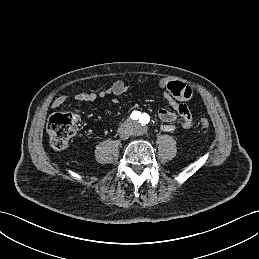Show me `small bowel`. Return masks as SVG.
<instances>
[{
    "label": "small bowel",
    "mask_w": 259,
    "mask_h": 259,
    "mask_svg": "<svg viewBox=\"0 0 259 259\" xmlns=\"http://www.w3.org/2000/svg\"><path fill=\"white\" fill-rule=\"evenodd\" d=\"M145 80L139 79L137 84H143ZM158 86L164 88L167 93L166 99L174 109L171 111L166 108H160L158 110V118L161 121V129L164 132L171 133L175 130V122L178 121L182 128L190 129L194 126V120L188 110L186 102L190 100L192 96V89L180 81L162 79L158 82ZM129 86L121 81H115L110 87L99 92H80L73 95V99L78 102L93 103L98 98H104L106 96H120L126 93ZM69 95L63 94L56 97L52 106L59 108L65 104Z\"/></svg>",
    "instance_id": "obj_1"
}]
</instances>
